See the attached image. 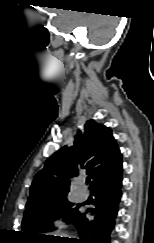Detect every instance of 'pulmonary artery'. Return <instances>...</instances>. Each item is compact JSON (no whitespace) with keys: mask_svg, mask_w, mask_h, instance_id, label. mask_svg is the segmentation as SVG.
I'll list each match as a JSON object with an SVG mask.
<instances>
[{"mask_svg":"<svg viewBox=\"0 0 154 243\" xmlns=\"http://www.w3.org/2000/svg\"><path fill=\"white\" fill-rule=\"evenodd\" d=\"M78 198L80 199V200H86L87 199V197H88V191L87 190H85V189H82V188H80V189H78Z\"/></svg>","mask_w":154,"mask_h":243,"instance_id":"obj_1","label":"pulmonary artery"}]
</instances>
